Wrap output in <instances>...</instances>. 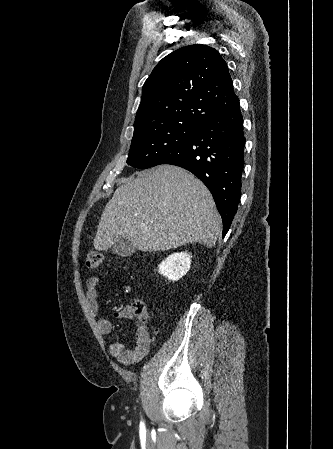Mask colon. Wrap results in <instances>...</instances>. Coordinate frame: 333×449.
I'll return each instance as SVG.
<instances>
[{"instance_id": "5ec220e1", "label": "colon", "mask_w": 333, "mask_h": 449, "mask_svg": "<svg viewBox=\"0 0 333 449\" xmlns=\"http://www.w3.org/2000/svg\"><path fill=\"white\" fill-rule=\"evenodd\" d=\"M104 261V255L101 251L90 250L86 256V266L89 269H98ZM130 311L134 317L137 318L140 327H143L146 323L148 312L143 302L135 300L130 305Z\"/></svg>"}]
</instances>
